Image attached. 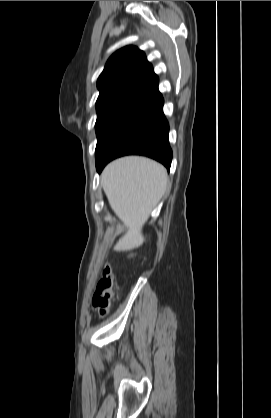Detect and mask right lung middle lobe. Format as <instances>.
Segmentation results:
<instances>
[{
  "instance_id": "right-lung-middle-lobe-1",
  "label": "right lung middle lobe",
  "mask_w": 271,
  "mask_h": 418,
  "mask_svg": "<svg viewBox=\"0 0 271 418\" xmlns=\"http://www.w3.org/2000/svg\"><path fill=\"white\" fill-rule=\"evenodd\" d=\"M153 106L135 99H116L96 104V158L125 127Z\"/></svg>"
}]
</instances>
